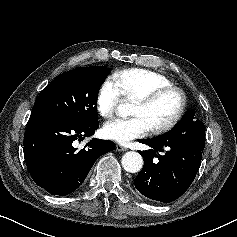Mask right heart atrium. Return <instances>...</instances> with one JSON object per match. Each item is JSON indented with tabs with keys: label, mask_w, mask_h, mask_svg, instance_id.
<instances>
[{
	"label": "right heart atrium",
	"mask_w": 237,
	"mask_h": 237,
	"mask_svg": "<svg viewBox=\"0 0 237 237\" xmlns=\"http://www.w3.org/2000/svg\"><path fill=\"white\" fill-rule=\"evenodd\" d=\"M122 92L112 79L104 80L96 94V109L104 119L111 118L122 100Z\"/></svg>",
	"instance_id": "obj_1"
}]
</instances>
